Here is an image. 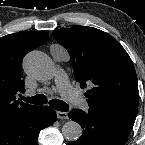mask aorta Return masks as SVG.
Wrapping results in <instances>:
<instances>
[{
	"label": "aorta",
	"mask_w": 145,
	"mask_h": 145,
	"mask_svg": "<svg viewBox=\"0 0 145 145\" xmlns=\"http://www.w3.org/2000/svg\"><path fill=\"white\" fill-rule=\"evenodd\" d=\"M23 66L28 75L40 81L50 80L55 71L52 60L38 50L26 55ZM62 134L69 141L78 140L82 135V127L75 121H68L62 127Z\"/></svg>",
	"instance_id": "1"
}]
</instances>
